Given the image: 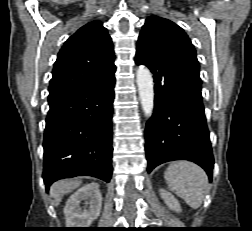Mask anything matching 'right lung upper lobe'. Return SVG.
Listing matches in <instances>:
<instances>
[{"label": "right lung upper lobe", "instance_id": "obj_1", "mask_svg": "<svg viewBox=\"0 0 252 231\" xmlns=\"http://www.w3.org/2000/svg\"><path fill=\"white\" fill-rule=\"evenodd\" d=\"M114 59L111 38L100 21L78 29L58 53L49 85V104L85 85L113 76Z\"/></svg>", "mask_w": 252, "mask_h": 231}]
</instances>
